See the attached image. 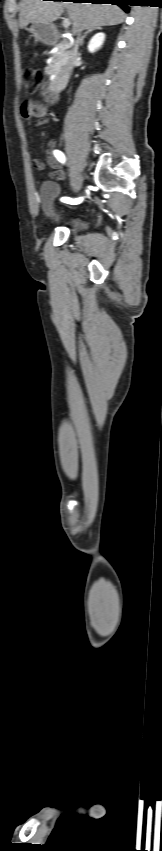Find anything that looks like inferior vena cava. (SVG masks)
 <instances>
[{
	"mask_svg": "<svg viewBox=\"0 0 162 851\" xmlns=\"http://www.w3.org/2000/svg\"><path fill=\"white\" fill-rule=\"evenodd\" d=\"M81 31H82V29H79L75 32V33H77V39H76V43H75V46H74V50H73L72 55H71V64H73V62H74V60L76 59V56H77L78 45L80 44V41H81V38H80ZM69 71H71V67L69 68Z\"/></svg>",
	"mask_w": 162,
	"mask_h": 851,
	"instance_id": "obj_1",
	"label": "inferior vena cava"
}]
</instances>
